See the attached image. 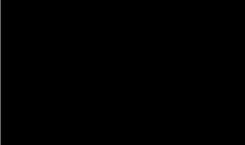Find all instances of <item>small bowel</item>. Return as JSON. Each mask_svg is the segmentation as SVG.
Segmentation results:
<instances>
[{"mask_svg":"<svg viewBox=\"0 0 245 145\" xmlns=\"http://www.w3.org/2000/svg\"><path fill=\"white\" fill-rule=\"evenodd\" d=\"M163 33H164V32H162V31L158 32L159 35H162Z\"/></svg>","mask_w":245,"mask_h":145,"instance_id":"small-bowel-1","label":"small bowel"}]
</instances>
